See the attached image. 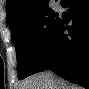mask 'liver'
Listing matches in <instances>:
<instances>
[{
    "label": "liver",
    "mask_w": 89,
    "mask_h": 89,
    "mask_svg": "<svg viewBox=\"0 0 89 89\" xmlns=\"http://www.w3.org/2000/svg\"><path fill=\"white\" fill-rule=\"evenodd\" d=\"M24 87H26V89H60L56 87H63V84L61 80L55 77L50 71H46L29 77L24 82Z\"/></svg>",
    "instance_id": "6515ba94"
}]
</instances>
